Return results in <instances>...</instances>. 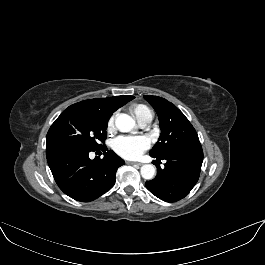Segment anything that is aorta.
<instances>
[{
	"label": "aorta",
	"mask_w": 265,
	"mask_h": 265,
	"mask_svg": "<svg viewBox=\"0 0 265 265\" xmlns=\"http://www.w3.org/2000/svg\"><path fill=\"white\" fill-rule=\"evenodd\" d=\"M115 125L121 132H130L136 126L132 117L127 114H119L115 120ZM141 176L144 179L151 180L155 175V167L151 164H145L140 169Z\"/></svg>",
	"instance_id": "obj_1"
}]
</instances>
